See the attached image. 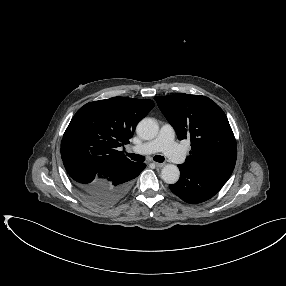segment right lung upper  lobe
I'll use <instances>...</instances> for the list:
<instances>
[{"mask_svg":"<svg viewBox=\"0 0 286 286\" xmlns=\"http://www.w3.org/2000/svg\"><path fill=\"white\" fill-rule=\"evenodd\" d=\"M154 107L150 99L113 97L81 107L69 123L62 143L79 144L99 168L110 172L133 163L117 148L128 144L137 122Z\"/></svg>","mask_w":286,"mask_h":286,"instance_id":"1","label":"right lung upper lobe"}]
</instances>
